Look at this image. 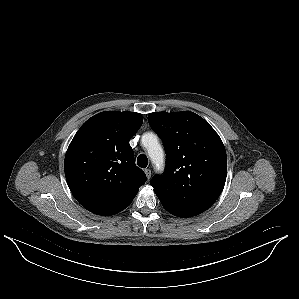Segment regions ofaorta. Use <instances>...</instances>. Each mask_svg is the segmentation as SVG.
Wrapping results in <instances>:
<instances>
[{"label":"aorta","instance_id":"1","mask_svg":"<svg viewBox=\"0 0 299 299\" xmlns=\"http://www.w3.org/2000/svg\"><path fill=\"white\" fill-rule=\"evenodd\" d=\"M143 145L148 149V154L152 162L157 168H162L163 165V149L158 144L157 137L152 133L144 134L142 137Z\"/></svg>","mask_w":299,"mask_h":299}]
</instances>
